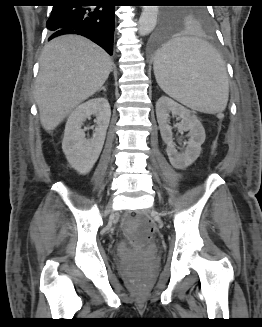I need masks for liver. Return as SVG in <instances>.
<instances>
[{"mask_svg": "<svg viewBox=\"0 0 262 327\" xmlns=\"http://www.w3.org/2000/svg\"><path fill=\"white\" fill-rule=\"evenodd\" d=\"M112 64L103 49L82 36L63 35L47 43L35 86L42 127L54 130L75 107L99 91Z\"/></svg>", "mask_w": 262, "mask_h": 327, "instance_id": "obj_1", "label": "liver"}]
</instances>
